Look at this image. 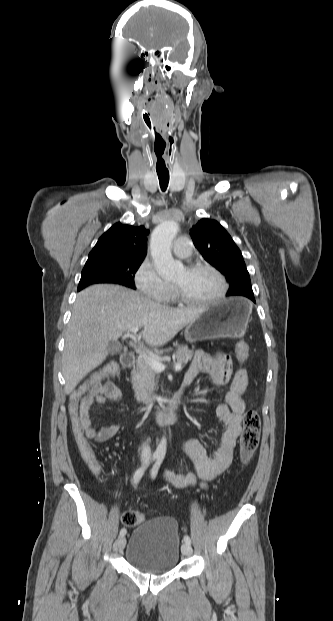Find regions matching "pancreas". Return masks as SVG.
<instances>
[{
	"instance_id": "cf45deb5",
	"label": "pancreas",
	"mask_w": 333,
	"mask_h": 621,
	"mask_svg": "<svg viewBox=\"0 0 333 621\" xmlns=\"http://www.w3.org/2000/svg\"><path fill=\"white\" fill-rule=\"evenodd\" d=\"M192 356L193 350H190L187 345L178 347L174 353V358L177 363L180 364L188 363ZM157 357L159 361L162 360L161 357ZM156 380V371L149 365L145 358L141 357L137 361L136 370L132 372V386L135 392V398L138 402L147 403L151 400L152 392L156 388Z\"/></svg>"
}]
</instances>
